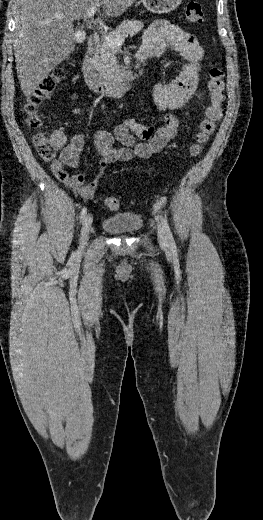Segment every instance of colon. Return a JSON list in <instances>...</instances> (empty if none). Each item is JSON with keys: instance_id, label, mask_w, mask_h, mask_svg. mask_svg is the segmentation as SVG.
<instances>
[{"instance_id": "colon-1", "label": "colon", "mask_w": 263, "mask_h": 520, "mask_svg": "<svg viewBox=\"0 0 263 520\" xmlns=\"http://www.w3.org/2000/svg\"><path fill=\"white\" fill-rule=\"evenodd\" d=\"M185 18L191 23H202L204 21V12L201 4L190 1L185 8ZM63 77L64 71L62 69L54 70L40 82L29 96L25 105V111L28 115L27 123L30 128L38 130L41 127L42 122L38 115L39 109L55 92L57 85L62 81ZM207 91L209 104L205 110V118L199 125L196 142L191 146L190 152L193 157H197L201 154L204 146L213 135L217 122L222 116L224 72L216 62H212L209 67ZM33 142L42 160H53L56 155L57 145L51 137L42 133H36ZM105 205L111 211H118L121 208V202L116 197H107L105 199Z\"/></svg>"}]
</instances>
